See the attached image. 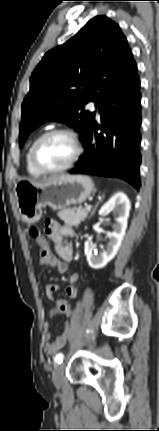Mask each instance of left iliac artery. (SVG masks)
Instances as JSON below:
<instances>
[{
  "instance_id": "left-iliac-artery-1",
  "label": "left iliac artery",
  "mask_w": 159,
  "mask_h": 431,
  "mask_svg": "<svg viewBox=\"0 0 159 431\" xmlns=\"http://www.w3.org/2000/svg\"><path fill=\"white\" fill-rule=\"evenodd\" d=\"M63 358H64V355L62 353H59L55 357V362L59 364L63 361Z\"/></svg>"
}]
</instances>
